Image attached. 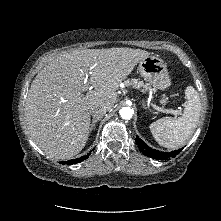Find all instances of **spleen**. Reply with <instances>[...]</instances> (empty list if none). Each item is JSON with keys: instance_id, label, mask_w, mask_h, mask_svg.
Segmentation results:
<instances>
[{"instance_id": "spleen-1", "label": "spleen", "mask_w": 221, "mask_h": 221, "mask_svg": "<svg viewBox=\"0 0 221 221\" xmlns=\"http://www.w3.org/2000/svg\"><path fill=\"white\" fill-rule=\"evenodd\" d=\"M185 99L181 117H163L149 126L154 139L163 147L173 149L184 145L197 128L201 112L199 94L192 86H188Z\"/></svg>"}]
</instances>
